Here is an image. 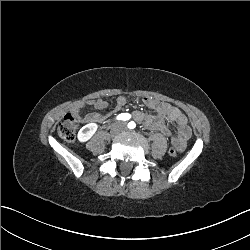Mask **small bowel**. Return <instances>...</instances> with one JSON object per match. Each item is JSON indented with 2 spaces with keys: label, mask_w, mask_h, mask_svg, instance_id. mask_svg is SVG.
<instances>
[{
  "label": "small bowel",
  "mask_w": 250,
  "mask_h": 250,
  "mask_svg": "<svg viewBox=\"0 0 250 250\" xmlns=\"http://www.w3.org/2000/svg\"><path fill=\"white\" fill-rule=\"evenodd\" d=\"M99 100L100 99L92 100L89 102V105L99 110L105 109L107 102H100ZM126 103V97L120 96L117 100L116 109L125 106ZM144 103L154 111V114L135 112L134 119L148 129L158 131L169 137L173 146L179 151L183 150L191 137V129L186 116L177 107L152 97L144 98ZM74 115L82 122L103 123L106 120L103 115L98 113L82 114L79 110L74 111ZM165 120L176 125L177 132L175 134L172 133L169 124L165 122Z\"/></svg>",
  "instance_id": "small-bowel-1"
}]
</instances>
